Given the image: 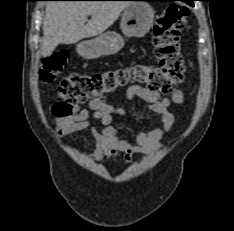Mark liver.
Here are the masks:
<instances>
[{
	"mask_svg": "<svg viewBox=\"0 0 234 231\" xmlns=\"http://www.w3.org/2000/svg\"><path fill=\"white\" fill-rule=\"evenodd\" d=\"M130 4L128 1H50L43 22L42 56L63 44H74L107 30ZM90 21L85 25L87 17Z\"/></svg>",
	"mask_w": 234,
	"mask_h": 231,
	"instance_id": "obj_1",
	"label": "liver"
}]
</instances>
